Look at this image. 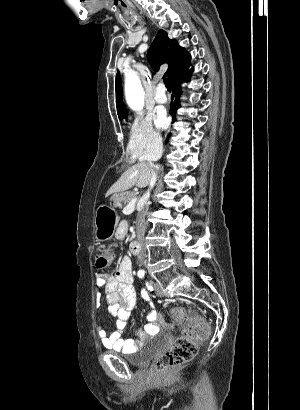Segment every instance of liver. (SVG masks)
<instances>
[{
  "label": "liver",
  "mask_w": 300,
  "mask_h": 410,
  "mask_svg": "<svg viewBox=\"0 0 300 410\" xmlns=\"http://www.w3.org/2000/svg\"><path fill=\"white\" fill-rule=\"evenodd\" d=\"M152 170L148 164L138 163L128 168L121 177L107 191L106 196L112 193L126 191L133 186L144 188L150 184Z\"/></svg>",
  "instance_id": "1"
}]
</instances>
